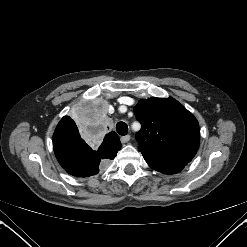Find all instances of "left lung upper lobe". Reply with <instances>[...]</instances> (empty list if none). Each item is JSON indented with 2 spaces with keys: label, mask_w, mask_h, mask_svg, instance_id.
Wrapping results in <instances>:
<instances>
[{
  "label": "left lung upper lobe",
  "mask_w": 247,
  "mask_h": 247,
  "mask_svg": "<svg viewBox=\"0 0 247 247\" xmlns=\"http://www.w3.org/2000/svg\"><path fill=\"white\" fill-rule=\"evenodd\" d=\"M141 129L136 134L144 159L188 163L200 143L199 124L182 104L169 97L140 100L134 107Z\"/></svg>",
  "instance_id": "5c2ea615"
}]
</instances>
